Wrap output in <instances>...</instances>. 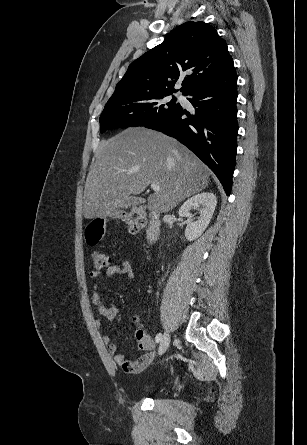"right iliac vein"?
<instances>
[{
    "mask_svg": "<svg viewBox=\"0 0 307 445\" xmlns=\"http://www.w3.org/2000/svg\"><path fill=\"white\" fill-rule=\"evenodd\" d=\"M170 341H171L170 334L168 332H166L160 341V345H159V349H158L159 355H162L166 352L167 348L169 347Z\"/></svg>",
    "mask_w": 307,
    "mask_h": 445,
    "instance_id": "right-iliac-vein-1",
    "label": "right iliac vein"
}]
</instances>
